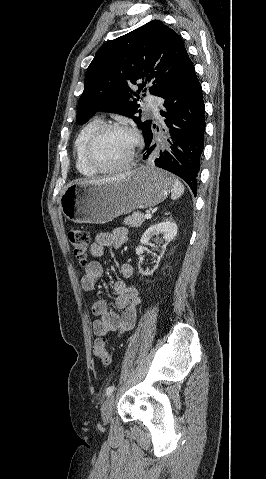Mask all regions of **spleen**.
Returning <instances> with one entry per match:
<instances>
[{
  "label": "spleen",
  "instance_id": "spleen-1",
  "mask_svg": "<svg viewBox=\"0 0 266 479\" xmlns=\"http://www.w3.org/2000/svg\"><path fill=\"white\" fill-rule=\"evenodd\" d=\"M183 193H184V186H183V184H182L178 179H175V180H174V184H173L172 193H171V198H172L173 200H176V199H178Z\"/></svg>",
  "mask_w": 266,
  "mask_h": 479
}]
</instances>
